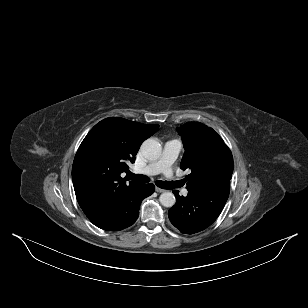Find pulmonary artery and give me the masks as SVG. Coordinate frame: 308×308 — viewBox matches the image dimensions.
I'll list each match as a JSON object with an SVG mask.
<instances>
[{
	"mask_svg": "<svg viewBox=\"0 0 308 308\" xmlns=\"http://www.w3.org/2000/svg\"><path fill=\"white\" fill-rule=\"evenodd\" d=\"M181 149L182 144L179 140L167 141L162 156L156 161L149 163L147 166L138 169V172L146 175L164 173L168 178H173L172 165L177 159ZM181 193L186 196L188 190L183 189Z\"/></svg>",
	"mask_w": 308,
	"mask_h": 308,
	"instance_id": "e3ab8cb5",
	"label": "pulmonary artery"
}]
</instances>
